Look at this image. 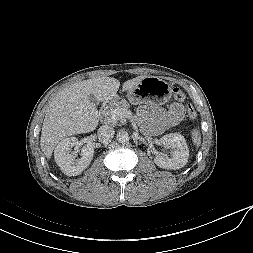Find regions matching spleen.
Wrapping results in <instances>:
<instances>
[{"instance_id":"spleen-1","label":"spleen","mask_w":253,"mask_h":253,"mask_svg":"<svg viewBox=\"0 0 253 253\" xmlns=\"http://www.w3.org/2000/svg\"><path fill=\"white\" fill-rule=\"evenodd\" d=\"M191 137H192V141L193 143L199 147L200 143H201V134L199 131V128H195L191 131Z\"/></svg>"}]
</instances>
